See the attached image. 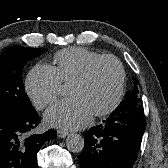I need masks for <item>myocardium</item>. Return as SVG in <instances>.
<instances>
[{"instance_id":"1","label":"myocardium","mask_w":168,"mask_h":168,"mask_svg":"<svg viewBox=\"0 0 168 168\" xmlns=\"http://www.w3.org/2000/svg\"><path fill=\"white\" fill-rule=\"evenodd\" d=\"M103 61H112L116 64L117 69H118V83H117L116 92L112 100L110 101V103L105 108L93 113V115L96 117L105 116L113 112L117 108V106L119 105L122 99L124 88H125L126 74H125L124 66L122 62L120 61V59L111 54L100 55L99 57L90 61L86 65L84 70L71 82V84H81V83L86 82L91 76L95 67Z\"/></svg>"}]
</instances>
